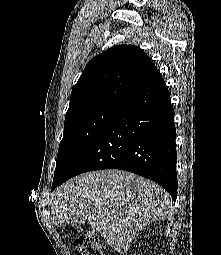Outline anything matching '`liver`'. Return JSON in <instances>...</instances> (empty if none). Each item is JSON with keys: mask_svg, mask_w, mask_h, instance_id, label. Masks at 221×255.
Returning <instances> with one entry per match:
<instances>
[{"mask_svg": "<svg viewBox=\"0 0 221 255\" xmlns=\"http://www.w3.org/2000/svg\"><path fill=\"white\" fill-rule=\"evenodd\" d=\"M52 221L66 226L76 215L120 254H126L135 235L147 225L169 217L170 195L155 182L122 170L81 174L52 197Z\"/></svg>", "mask_w": 221, "mask_h": 255, "instance_id": "obj_1", "label": "liver"}]
</instances>
